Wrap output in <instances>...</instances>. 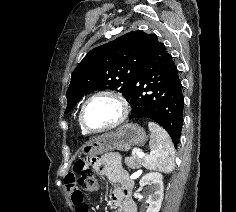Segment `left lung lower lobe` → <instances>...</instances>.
Listing matches in <instances>:
<instances>
[{"label":"left lung lower lobe","instance_id":"0a47b994","mask_svg":"<svg viewBox=\"0 0 236 212\" xmlns=\"http://www.w3.org/2000/svg\"><path fill=\"white\" fill-rule=\"evenodd\" d=\"M130 119L149 118L161 125L177 146L183 124V94L177 67L163 43L152 34L132 91L126 99Z\"/></svg>","mask_w":236,"mask_h":212}]
</instances>
